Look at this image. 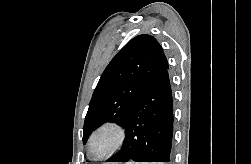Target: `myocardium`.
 <instances>
[{
  "instance_id": "myocardium-1",
  "label": "myocardium",
  "mask_w": 251,
  "mask_h": 164,
  "mask_svg": "<svg viewBox=\"0 0 251 164\" xmlns=\"http://www.w3.org/2000/svg\"><path fill=\"white\" fill-rule=\"evenodd\" d=\"M127 139V131L118 121H106L99 125L90 135L88 151L96 159H106L122 149ZM105 141L102 150L97 149L99 142Z\"/></svg>"
}]
</instances>
